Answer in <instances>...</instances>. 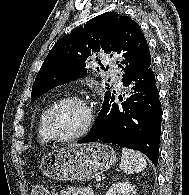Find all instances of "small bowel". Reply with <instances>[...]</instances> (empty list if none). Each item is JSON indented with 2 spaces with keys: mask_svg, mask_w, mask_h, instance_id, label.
I'll return each instance as SVG.
<instances>
[{
  "mask_svg": "<svg viewBox=\"0 0 189 195\" xmlns=\"http://www.w3.org/2000/svg\"><path fill=\"white\" fill-rule=\"evenodd\" d=\"M60 195H94L89 187H69L64 189Z\"/></svg>",
  "mask_w": 189,
  "mask_h": 195,
  "instance_id": "c3829d8e",
  "label": "small bowel"
}]
</instances>
